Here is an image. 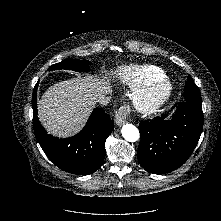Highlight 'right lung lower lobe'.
Listing matches in <instances>:
<instances>
[{
    "instance_id": "98d812e1",
    "label": "right lung lower lobe",
    "mask_w": 221,
    "mask_h": 221,
    "mask_svg": "<svg viewBox=\"0 0 221 221\" xmlns=\"http://www.w3.org/2000/svg\"><path fill=\"white\" fill-rule=\"evenodd\" d=\"M37 85L32 95L33 127L43 151L51 162L68 173H94L103 163L105 141L113 130V121L103 109L95 108L80 133L71 138L53 137L47 134L37 117Z\"/></svg>"
}]
</instances>
